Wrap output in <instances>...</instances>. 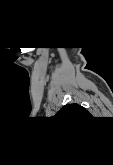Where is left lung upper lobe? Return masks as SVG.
I'll list each match as a JSON object with an SVG mask.
<instances>
[{"label": "left lung upper lobe", "instance_id": "5c2ea615", "mask_svg": "<svg viewBox=\"0 0 113 165\" xmlns=\"http://www.w3.org/2000/svg\"><path fill=\"white\" fill-rule=\"evenodd\" d=\"M57 114H61V116H72V117H78V116H88L89 113L88 111L78 105V104H69V105H65L63 106L60 111Z\"/></svg>", "mask_w": 113, "mask_h": 165}]
</instances>
